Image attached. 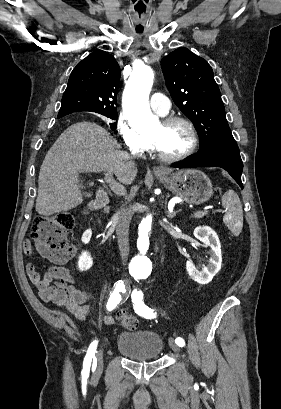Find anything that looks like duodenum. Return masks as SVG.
Wrapping results in <instances>:
<instances>
[{
	"mask_svg": "<svg viewBox=\"0 0 281 409\" xmlns=\"http://www.w3.org/2000/svg\"><path fill=\"white\" fill-rule=\"evenodd\" d=\"M109 188L107 186H100L96 192V197L100 200L92 201L87 205V211H94L99 209L101 205L109 201Z\"/></svg>",
	"mask_w": 281,
	"mask_h": 409,
	"instance_id": "duodenum-1",
	"label": "duodenum"
}]
</instances>
